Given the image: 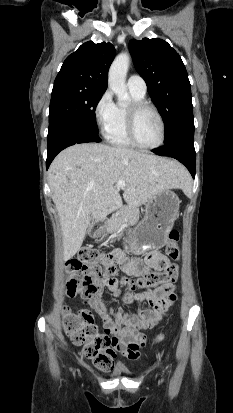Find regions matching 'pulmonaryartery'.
I'll use <instances>...</instances> for the list:
<instances>
[{
  "label": "pulmonary artery",
  "instance_id": "e3ab8cb5",
  "mask_svg": "<svg viewBox=\"0 0 233 413\" xmlns=\"http://www.w3.org/2000/svg\"><path fill=\"white\" fill-rule=\"evenodd\" d=\"M127 87L130 92H134L140 96H145L147 92L146 82L141 76L137 74H133L129 76L127 80Z\"/></svg>",
  "mask_w": 233,
  "mask_h": 413
}]
</instances>
